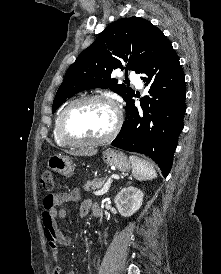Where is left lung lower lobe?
<instances>
[{
	"label": "left lung lower lobe",
	"instance_id": "left-lung-lower-lobe-1",
	"mask_svg": "<svg viewBox=\"0 0 221 274\" xmlns=\"http://www.w3.org/2000/svg\"><path fill=\"white\" fill-rule=\"evenodd\" d=\"M142 73L145 86L151 84L150 96L141 99L142 109L135 107V95L126 102L125 122L112 146L149 156L167 177L186 111L184 73L171 43Z\"/></svg>",
	"mask_w": 221,
	"mask_h": 274
}]
</instances>
